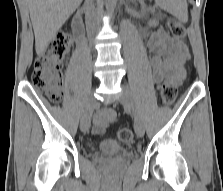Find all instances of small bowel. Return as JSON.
Here are the masks:
<instances>
[{
	"mask_svg": "<svg viewBox=\"0 0 223 191\" xmlns=\"http://www.w3.org/2000/svg\"><path fill=\"white\" fill-rule=\"evenodd\" d=\"M149 24L155 27L156 21L152 20ZM147 46L153 53L150 64L158 88L161 87L165 78H172L177 83L185 78V64L190 58V53L182 41L169 36L162 30H156L150 34ZM116 118L117 113L114 108L102 107L98 109L93 117V132L95 134L104 132Z\"/></svg>",
	"mask_w": 223,
	"mask_h": 191,
	"instance_id": "1",
	"label": "small bowel"
}]
</instances>
